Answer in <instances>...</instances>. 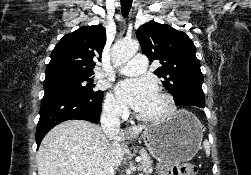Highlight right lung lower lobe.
<instances>
[{
  "label": "right lung lower lobe",
  "instance_id": "obj_1",
  "mask_svg": "<svg viewBox=\"0 0 251 175\" xmlns=\"http://www.w3.org/2000/svg\"><path fill=\"white\" fill-rule=\"evenodd\" d=\"M44 91L36 130L37 149L47 132L63 121L79 119L99 122L103 92L84 95L62 87H51Z\"/></svg>",
  "mask_w": 251,
  "mask_h": 175
}]
</instances>
